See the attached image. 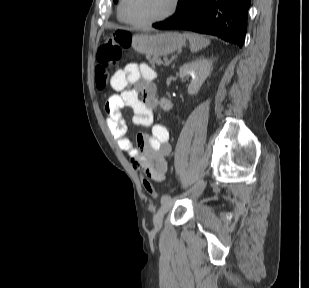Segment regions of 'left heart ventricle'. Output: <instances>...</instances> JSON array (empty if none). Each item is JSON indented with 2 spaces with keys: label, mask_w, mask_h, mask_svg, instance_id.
<instances>
[{
  "label": "left heart ventricle",
  "mask_w": 309,
  "mask_h": 288,
  "mask_svg": "<svg viewBox=\"0 0 309 288\" xmlns=\"http://www.w3.org/2000/svg\"><path fill=\"white\" fill-rule=\"evenodd\" d=\"M170 5L171 0H126L125 11L131 20L142 22L163 15Z\"/></svg>",
  "instance_id": "left-heart-ventricle-1"
}]
</instances>
